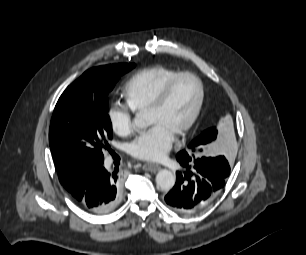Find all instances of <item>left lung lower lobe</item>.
<instances>
[{
    "instance_id": "obj_1",
    "label": "left lung lower lobe",
    "mask_w": 306,
    "mask_h": 255,
    "mask_svg": "<svg viewBox=\"0 0 306 255\" xmlns=\"http://www.w3.org/2000/svg\"><path fill=\"white\" fill-rule=\"evenodd\" d=\"M176 158L183 172L176 173L175 186L165 196V201L176 212H198L221 191L230 171L192 159L185 151L179 152Z\"/></svg>"
}]
</instances>
